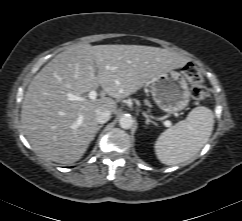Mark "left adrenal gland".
<instances>
[{"label":"left adrenal gland","mask_w":242,"mask_h":221,"mask_svg":"<svg viewBox=\"0 0 242 221\" xmlns=\"http://www.w3.org/2000/svg\"><path fill=\"white\" fill-rule=\"evenodd\" d=\"M142 114H143V116L146 118L145 123H146L147 125H149L150 123H152L153 125H157L154 121H152V120L150 119L149 115H148L146 112H143Z\"/></svg>","instance_id":"obj_1"}]
</instances>
